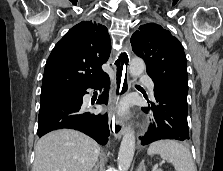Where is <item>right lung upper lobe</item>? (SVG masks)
<instances>
[{
	"label": "right lung upper lobe",
	"mask_w": 223,
	"mask_h": 171,
	"mask_svg": "<svg viewBox=\"0 0 223 171\" xmlns=\"http://www.w3.org/2000/svg\"><path fill=\"white\" fill-rule=\"evenodd\" d=\"M107 28L82 21L55 45L45 66L41 98L85 88L105 72L101 65L110 55Z\"/></svg>",
	"instance_id": "1"
}]
</instances>
